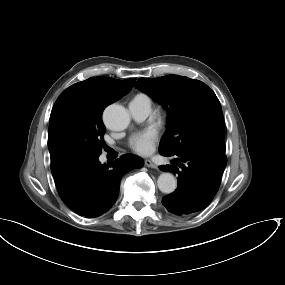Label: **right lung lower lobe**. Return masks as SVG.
<instances>
[{
    "instance_id": "98d812e1",
    "label": "right lung lower lobe",
    "mask_w": 285,
    "mask_h": 285,
    "mask_svg": "<svg viewBox=\"0 0 285 285\" xmlns=\"http://www.w3.org/2000/svg\"><path fill=\"white\" fill-rule=\"evenodd\" d=\"M143 160L131 154L107 164L99 157L69 166L53 174L59 196L65 205L80 216L98 217L116 202L123 174L140 168Z\"/></svg>"
}]
</instances>
